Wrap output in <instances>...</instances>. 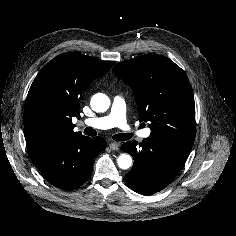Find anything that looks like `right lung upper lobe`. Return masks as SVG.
Returning a JSON list of instances; mask_svg holds the SVG:
<instances>
[{"label":"right lung upper lobe","instance_id":"1","mask_svg":"<svg viewBox=\"0 0 236 236\" xmlns=\"http://www.w3.org/2000/svg\"><path fill=\"white\" fill-rule=\"evenodd\" d=\"M113 64L66 53L41 69L30 87L24 109V135L30 157L71 137L83 136L74 132L72 123L73 117H80V96Z\"/></svg>","mask_w":236,"mask_h":236}]
</instances>
